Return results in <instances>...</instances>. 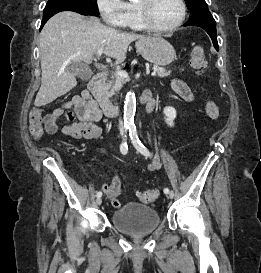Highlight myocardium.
<instances>
[{"label": "myocardium", "mask_w": 261, "mask_h": 273, "mask_svg": "<svg viewBox=\"0 0 261 273\" xmlns=\"http://www.w3.org/2000/svg\"><path fill=\"white\" fill-rule=\"evenodd\" d=\"M178 2L181 7V15L179 20L170 27H159L153 22L151 13L152 6L155 3V0H139V2L137 3V9L145 28L149 31L156 33H168L180 27L186 19L187 6L185 0H178Z\"/></svg>", "instance_id": "myocardium-1"}]
</instances>
